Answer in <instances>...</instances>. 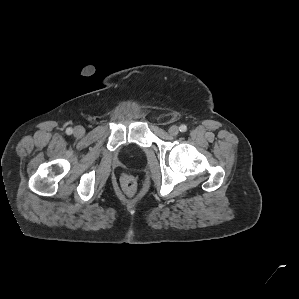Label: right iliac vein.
<instances>
[{
    "label": "right iliac vein",
    "instance_id": "63e3f726",
    "mask_svg": "<svg viewBox=\"0 0 299 299\" xmlns=\"http://www.w3.org/2000/svg\"><path fill=\"white\" fill-rule=\"evenodd\" d=\"M85 133V129L82 126H76L74 128V135L76 137H82Z\"/></svg>",
    "mask_w": 299,
    "mask_h": 299
}]
</instances>
